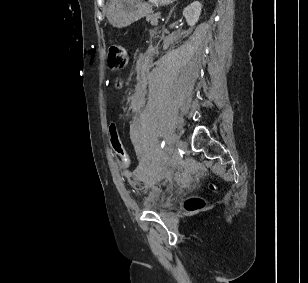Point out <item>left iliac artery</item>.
<instances>
[{
  "mask_svg": "<svg viewBox=\"0 0 308 283\" xmlns=\"http://www.w3.org/2000/svg\"><path fill=\"white\" fill-rule=\"evenodd\" d=\"M164 145H165V140L162 141V144H161L162 148L164 147Z\"/></svg>",
  "mask_w": 308,
  "mask_h": 283,
  "instance_id": "44dca946",
  "label": "left iliac artery"
}]
</instances>
